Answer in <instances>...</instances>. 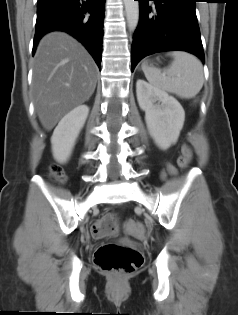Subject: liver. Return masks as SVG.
Returning a JSON list of instances; mask_svg holds the SVG:
<instances>
[{"instance_id": "1", "label": "liver", "mask_w": 238, "mask_h": 315, "mask_svg": "<svg viewBox=\"0 0 238 315\" xmlns=\"http://www.w3.org/2000/svg\"><path fill=\"white\" fill-rule=\"evenodd\" d=\"M97 67L87 50L64 32L39 42L33 64V95L42 126L50 131L76 106L87 101L97 82Z\"/></svg>"}]
</instances>
